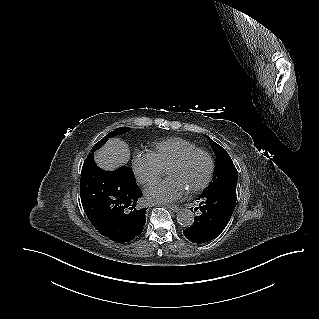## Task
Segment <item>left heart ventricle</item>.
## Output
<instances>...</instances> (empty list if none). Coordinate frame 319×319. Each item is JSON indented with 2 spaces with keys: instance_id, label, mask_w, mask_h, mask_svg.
Instances as JSON below:
<instances>
[{
  "instance_id": "1",
  "label": "left heart ventricle",
  "mask_w": 319,
  "mask_h": 319,
  "mask_svg": "<svg viewBox=\"0 0 319 319\" xmlns=\"http://www.w3.org/2000/svg\"><path fill=\"white\" fill-rule=\"evenodd\" d=\"M181 154L180 156H182ZM208 172V162L203 155H196L189 159L185 164L170 168L167 175L170 178L179 179L187 189L199 185L206 177Z\"/></svg>"
}]
</instances>
